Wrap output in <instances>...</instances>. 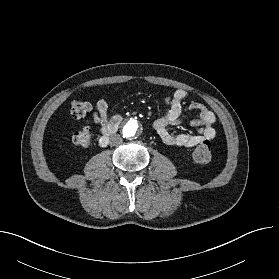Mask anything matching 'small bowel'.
<instances>
[{"label":"small bowel","mask_w":279,"mask_h":279,"mask_svg":"<svg viewBox=\"0 0 279 279\" xmlns=\"http://www.w3.org/2000/svg\"><path fill=\"white\" fill-rule=\"evenodd\" d=\"M187 95V91L177 89L172 96L166 99V109L163 116L153 123L154 131L166 145L192 148L204 141L212 140L216 136V129L214 128L216 118L214 113L197 102H192L187 107H184V100L187 98ZM193 110L198 111L197 117L191 120L192 126L200 127L197 133L176 134L169 131V127L181 121L186 111ZM113 118L109 119L108 103L103 99L98 100L96 111L93 113L90 121L99 126L101 133L104 134Z\"/></svg>","instance_id":"small-bowel-1"}]
</instances>
